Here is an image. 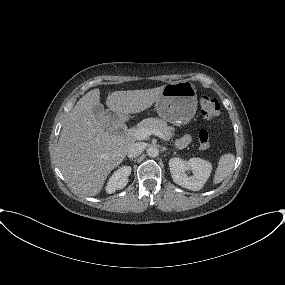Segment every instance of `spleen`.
Here are the masks:
<instances>
[{
    "instance_id": "spleen-1",
    "label": "spleen",
    "mask_w": 285,
    "mask_h": 285,
    "mask_svg": "<svg viewBox=\"0 0 285 285\" xmlns=\"http://www.w3.org/2000/svg\"><path fill=\"white\" fill-rule=\"evenodd\" d=\"M235 163V156L231 153L224 154L220 157L218 167L216 169L213 183L222 182L232 171Z\"/></svg>"
}]
</instances>
